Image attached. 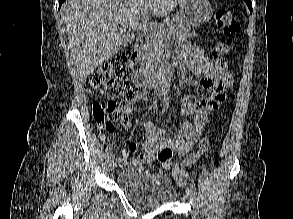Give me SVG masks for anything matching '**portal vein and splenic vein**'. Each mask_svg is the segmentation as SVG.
Segmentation results:
<instances>
[{
  "label": "portal vein and splenic vein",
  "mask_w": 293,
  "mask_h": 219,
  "mask_svg": "<svg viewBox=\"0 0 293 219\" xmlns=\"http://www.w3.org/2000/svg\"><path fill=\"white\" fill-rule=\"evenodd\" d=\"M135 27V26H134ZM148 27H151V25H142V26H140L139 28H144V29H147ZM156 28H158V27H156Z\"/></svg>",
  "instance_id": "18ae733b"
}]
</instances>
